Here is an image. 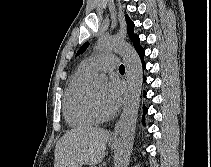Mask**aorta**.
Masks as SVG:
<instances>
[{
	"instance_id": "aorta-1",
	"label": "aorta",
	"mask_w": 211,
	"mask_h": 167,
	"mask_svg": "<svg viewBox=\"0 0 211 167\" xmlns=\"http://www.w3.org/2000/svg\"><path fill=\"white\" fill-rule=\"evenodd\" d=\"M101 52H118L123 56L126 66L128 90L120 127L119 149L115 160V167H127L133 148L135 128L138 118L140 96L142 89V63L135 49L126 41L115 36H103L97 43ZM106 78L99 75L95 84L104 85Z\"/></svg>"
}]
</instances>
